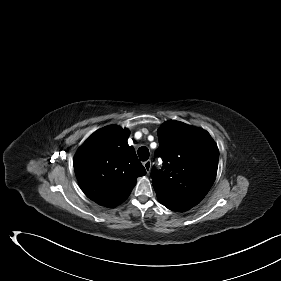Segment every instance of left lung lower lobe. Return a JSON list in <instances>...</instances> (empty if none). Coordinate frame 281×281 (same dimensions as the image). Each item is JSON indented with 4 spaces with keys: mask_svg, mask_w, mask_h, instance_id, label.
Wrapping results in <instances>:
<instances>
[{
    "mask_svg": "<svg viewBox=\"0 0 281 281\" xmlns=\"http://www.w3.org/2000/svg\"><path fill=\"white\" fill-rule=\"evenodd\" d=\"M168 209L173 210V211H177V212H183V211L189 210L190 208L185 207L183 205H176V206H173V207H169Z\"/></svg>",
    "mask_w": 281,
    "mask_h": 281,
    "instance_id": "0a47b994",
    "label": "left lung lower lobe"
}]
</instances>
